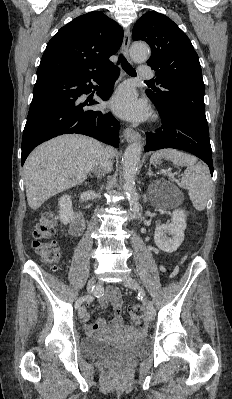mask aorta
<instances>
[{"label": "aorta", "mask_w": 232, "mask_h": 399, "mask_svg": "<svg viewBox=\"0 0 232 399\" xmlns=\"http://www.w3.org/2000/svg\"><path fill=\"white\" fill-rule=\"evenodd\" d=\"M130 57L135 63H142L149 57V47L145 43H134L130 48ZM142 154V145L133 143L129 145L123 156L122 172L124 180V192L129 201L130 209L137 215L141 207L138 203L139 196L135 187V176Z\"/></svg>", "instance_id": "762f6f07"}]
</instances>
